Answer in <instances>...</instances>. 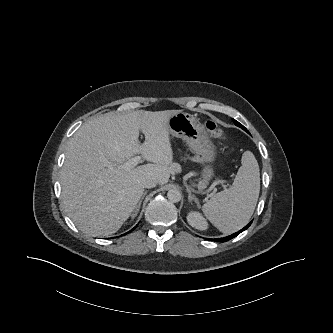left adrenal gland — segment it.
<instances>
[{"mask_svg":"<svg viewBox=\"0 0 333 333\" xmlns=\"http://www.w3.org/2000/svg\"><path fill=\"white\" fill-rule=\"evenodd\" d=\"M187 192H188V202L195 201L197 204H199L198 199L196 198L195 195L191 193L189 189H187Z\"/></svg>","mask_w":333,"mask_h":333,"instance_id":"obj_1","label":"left adrenal gland"}]
</instances>
